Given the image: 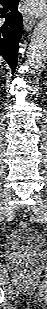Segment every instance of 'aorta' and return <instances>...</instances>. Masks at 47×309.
Segmentation results:
<instances>
[{
    "label": "aorta",
    "mask_w": 47,
    "mask_h": 309,
    "mask_svg": "<svg viewBox=\"0 0 47 309\" xmlns=\"http://www.w3.org/2000/svg\"><path fill=\"white\" fill-rule=\"evenodd\" d=\"M47 56V23L41 21L35 27L27 51V60L31 71H35Z\"/></svg>",
    "instance_id": "1"
}]
</instances>
